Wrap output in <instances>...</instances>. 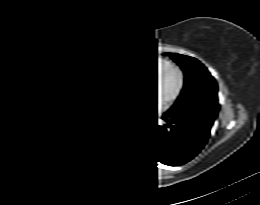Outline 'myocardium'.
I'll use <instances>...</instances> for the list:
<instances>
[{"label": "myocardium", "instance_id": "1", "mask_svg": "<svg viewBox=\"0 0 260 205\" xmlns=\"http://www.w3.org/2000/svg\"><path fill=\"white\" fill-rule=\"evenodd\" d=\"M172 73L178 74L179 83H178V86H177L175 92L172 94V96L163 105H161L163 107V109H165V110L171 108L183 94L185 86H186L185 72L180 67L175 65V66L169 67V68L165 69L164 71L160 72L154 81L155 84H157L159 86L164 81V79Z\"/></svg>", "mask_w": 260, "mask_h": 205}]
</instances>
